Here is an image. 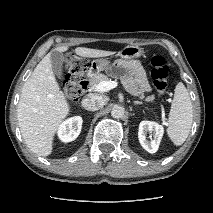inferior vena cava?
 <instances>
[{
  "mask_svg": "<svg viewBox=\"0 0 213 213\" xmlns=\"http://www.w3.org/2000/svg\"><path fill=\"white\" fill-rule=\"evenodd\" d=\"M107 102V98L104 96L89 94L82 100V106L89 111H96L102 108Z\"/></svg>",
  "mask_w": 213,
  "mask_h": 213,
  "instance_id": "obj_1",
  "label": "inferior vena cava"
}]
</instances>
